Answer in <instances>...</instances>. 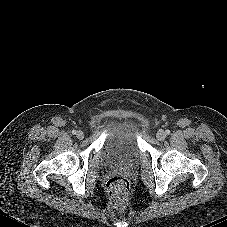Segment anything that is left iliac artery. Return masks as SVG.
Instances as JSON below:
<instances>
[{
  "instance_id": "obj_1",
  "label": "left iliac artery",
  "mask_w": 227,
  "mask_h": 227,
  "mask_svg": "<svg viewBox=\"0 0 227 227\" xmlns=\"http://www.w3.org/2000/svg\"><path fill=\"white\" fill-rule=\"evenodd\" d=\"M165 133L168 135V134H170V131L169 130H166Z\"/></svg>"
}]
</instances>
